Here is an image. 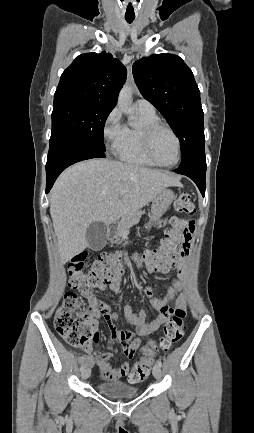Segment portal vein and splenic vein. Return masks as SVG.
<instances>
[{
	"mask_svg": "<svg viewBox=\"0 0 254 433\" xmlns=\"http://www.w3.org/2000/svg\"><path fill=\"white\" fill-rule=\"evenodd\" d=\"M124 194H125V191H121V192L119 193L120 196H123Z\"/></svg>",
	"mask_w": 254,
	"mask_h": 433,
	"instance_id": "18ae733b",
	"label": "portal vein and splenic vein"
}]
</instances>
